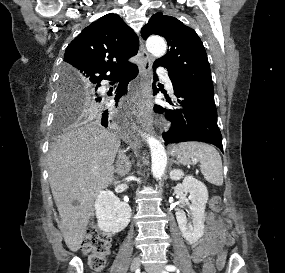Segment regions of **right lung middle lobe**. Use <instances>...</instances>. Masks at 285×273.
Instances as JSON below:
<instances>
[{
  "label": "right lung middle lobe",
  "instance_id": "obj_1",
  "mask_svg": "<svg viewBox=\"0 0 285 273\" xmlns=\"http://www.w3.org/2000/svg\"><path fill=\"white\" fill-rule=\"evenodd\" d=\"M103 103L95 86L83 84L62 72L57 103L58 126L79 119L98 120Z\"/></svg>",
  "mask_w": 285,
  "mask_h": 273
}]
</instances>
